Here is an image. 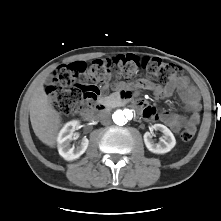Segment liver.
I'll list each match as a JSON object with an SVG mask.
<instances>
[{"instance_id": "1", "label": "liver", "mask_w": 221, "mask_h": 221, "mask_svg": "<svg viewBox=\"0 0 221 221\" xmlns=\"http://www.w3.org/2000/svg\"><path fill=\"white\" fill-rule=\"evenodd\" d=\"M30 121L39 140L50 147H55L61 116L52 106L43 87V81L36 87L31 98Z\"/></svg>"}]
</instances>
